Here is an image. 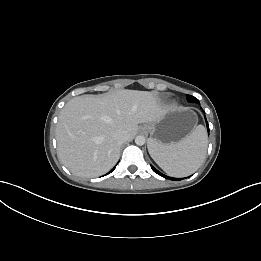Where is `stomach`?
Returning a JSON list of instances; mask_svg holds the SVG:
<instances>
[{
	"label": "stomach",
	"instance_id": "stomach-1",
	"mask_svg": "<svg viewBox=\"0 0 261 261\" xmlns=\"http://www.w3.org/2000/svg\"><path fill=\"white\" fill-rule=\"evenodd\" d=\"M197 115L188 108H170L158 120L146 123L141 130L150 134L154 143H177L189 135L197 125Z\"/></svg>",
	"mask_w": 261,
	"mask_h": 261
}]
</instances>
